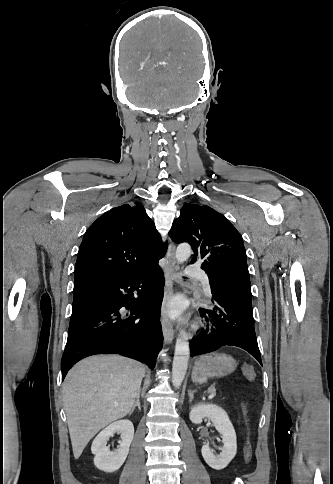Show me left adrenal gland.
<instances>
[{"label":"left adrenal gland","mask_w":333,"mask_h":484,"mask_svg":"<svg viewBox=\"0 0 333 484\" xmlns=\"http://www.w3.org/2000/svg\"><path fill=\"white\" fill-rule=\"evenodd\" d=\"M194 393H196V390H193V391L189 390V391H188V395H189V402H190V403H191V402H192V400H193Z\"/></svg>","instance_id":"left-adrenal-gland-1"}]
</instances>
